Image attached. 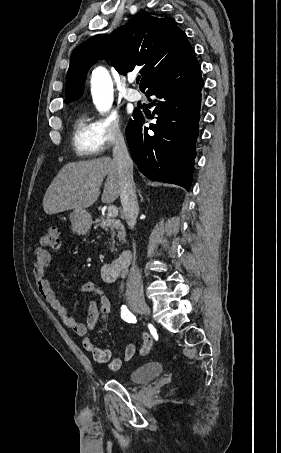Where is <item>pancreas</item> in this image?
Masks as SVG:
<instances>
[{"label":"pancreas","instance_id":"1","mask_svg":"<svg viewBox=\"0 0 281 453\" xmlns=\"http://www.w3.org/2000/svg\"><path fill=\"white\" fill-rule=\"evenodd\" d=\"M94 222H97L96 227H101L104 231H111L112 245H114V237H118L120 241H125L126 233L124 231V224L120 222L119 218H104L99 216ZM117 233V235H116Z\"/></svg>","mask_w":281,"mask_h":453}]
</instances>
